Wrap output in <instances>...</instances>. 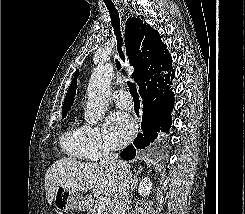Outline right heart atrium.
<instances>
[{"label": "right heart atrium", "mask_w": 245, "mask_h": 214, "mask_svg": "<svg viewBox=\"0 0 245 214\" xmlns=\"http://www.w3.org/2000/svg\"><path fill=\"white\" fill-rule=\"evenodd\" d=\"M82 137L85 158L97 160L102 156L109 154V148L106 145L102 132L98 126L83 125Z\"/></svg>", "instance_id": "obj_1"}]
</instances>
